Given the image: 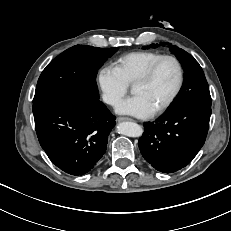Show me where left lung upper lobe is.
<instances>
[{"instance_id":"left-lung-upper-lobe-1","label":"left lung upper lobe","mask_w":231,"mask_h":231,"mask_svg":"<svg viewBox=\"0 0 231 231\" xmlns=\"http://www.w3.org/2000/svg\"><path fill=\"white\" fill-rule=\"evenodd\" d=\"M160 45H168L169 50L178 58L184 69L182 89L169 108L189 104L211 107V96L208 83L199 63L190 54L177 46L163 42H161ZM158 46V44H151L150 46L143 47V49H148L150 47L155 48Z\"/></svg>"}]
</instances>
